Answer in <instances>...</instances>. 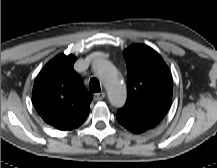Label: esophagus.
Returning <instances> with one entry per match:
<instances>
[{
  "instance_id": "34e87169",
  "label": "esophagus",
  "mask_w": 217,
  "mask_h": 168,
  "mask_svg": "<svg viewBox=\"0 0 217 168\" xmlns=\"http://www.w3.org/2000/svg\"><path fill=\"white\" fill-rule=\"evenodd\" d=\"M105 98V93L104 92H100V93H95L94 94V100L95 101H101Z\"/></svg>"
}]
</instances>
